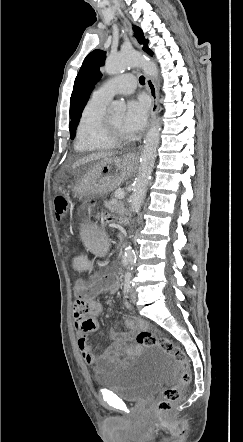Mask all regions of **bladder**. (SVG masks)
Listing matches in <instances>:
<instances>
[{
    "mask_svg": "<svg viewBox=\"0 0 243 442\" xmlns=\"http://www.w3.org/2000/svg\"><path fill=\"white\" fill-rule=\"evenodd\" d=\"M170 357L154 352L136 364L105 373L98 378V385L126 401L144 400L174 379L177 364Z\"/></svg>",
    "mask_w": 243,
    "mask_h": 442,
    "instance_id": "31cf9c89",
    "label": "bladder"
}]
</instances>
